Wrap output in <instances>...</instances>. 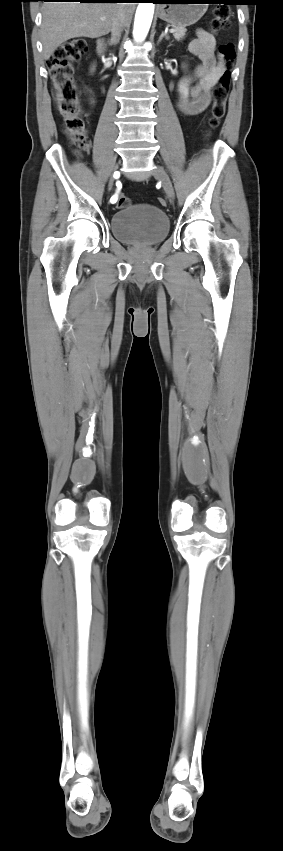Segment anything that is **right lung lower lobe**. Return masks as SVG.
<instances>
[{"label": "right lung lower lobe", "instance_id": "1", "mask_svg": "<svg viewBox=\"0 0 283 851\" xmlns=\"http://www.w3.org/2000/svg\"><path fill=\"white\" fill-rule=\"evenodd\" d=\"M42 1H80V2H137L139 0H42Z\"/></svg>", "mask_w": 283, "mask_h": 851}]
</instances>
